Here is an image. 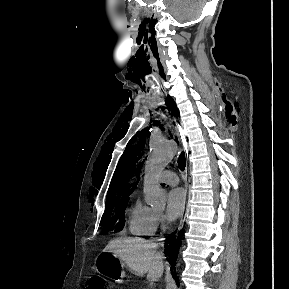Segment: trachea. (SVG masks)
I'll list each match as a JSON object with an SVG mask.
<instances>
[{"label":"trachea","mask_w":289,"mask_h":289,"mask_svg":"<svg viewBox=\"0 0 289 289\" xmlns=\"http://www.w3.org/2000/svg\"><path fill=\"white\" fill-rule=\"evenodd\" d=\"M185 165H186L185 153L181 152V154L178 158V167L181 171H184Z\"/></svg>","instance_id":"3493384b"}]
</instances>
